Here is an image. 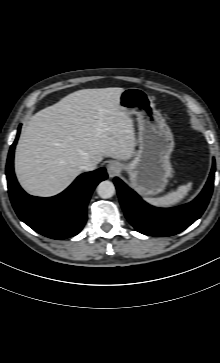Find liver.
Here are the masks:
<instances>
[{
    "label": "liver",
    "instance_id": "6515ba94",
    "mask_svg": "<svg viewBox=\"0 0 220 363\" xmlns=\"http://www.w3.org/2000/svg\"><path fill=\"white\" fill-rule=\"evenodd\" d=\"M123 88L83 89L33 115L15 151V173L29 194L51 197L80 175L87 161L128 160L136 138L119 104Z\"/></svg>",
    "mask_w": 220,
    "mask_h": 363
}]
</instances>
